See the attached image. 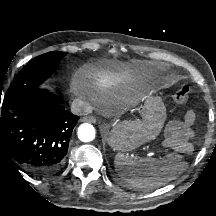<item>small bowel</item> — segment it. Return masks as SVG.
<instances>
[{"mask_svg":"<svg viewBox=\"0 0 216 216\" xmlns=\"http://www.w3.org/2000/svg\"><path fill=\"white\" fill-rule=\"evenodd\" d=\"M195 113L190 110L185 114L183 120L169 122L166 129V141L170 148L183 154H190L193 146L190 142L194 138L193 125Z\"/></svg>","mask_w":216,"mask_h":216,"instance_id":"small-bowel-1","label":"small bowel"}]
</instances>
